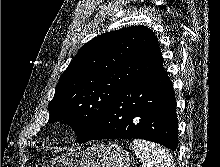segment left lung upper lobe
Wrapping results in <instances>:
<instances>
[{
	"label": "left lung upper lobe",
	"mask_w": 220,
	"mask_h": 167,
	"mask_svg": "<svg viewBox=\"0 0 220 167\" xmlns=\"http://www.w3.org/2000/svg\"><path fill=\"white\" fill-rule=\"evenodd\" d=\"M163 63L145 26L123 27L90 40L61 75L48 105L49 122L70 125L81 142L97 131L119 89Z\"/></svg>",
	"instance_id": "5c2ea615"
}]
</instances>
